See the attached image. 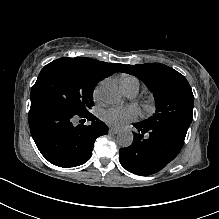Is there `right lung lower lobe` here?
<instances>
[{
  "instance_id": "1",
  "label": "right lung lower lobe",
  "mask_w": 219,
  "mask_h": 219,
  "mask_svg": "<svg viewBox=\"0 0 219 219\" xmlns=\"http://www.w3.org/2000/svg\"><path fill=\"white\" fill-rule=\"evenodd\" d=\"M82 119L90 125H75ZM29 127L41 154L52 164L69 168L84 164L92 154L97 137L108 133L105 123L91 113L72 114L61 106L45 101L31 102Z\"/></svg>"
}]
</instances>
